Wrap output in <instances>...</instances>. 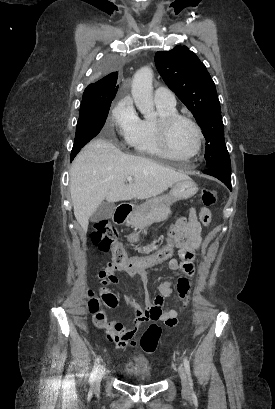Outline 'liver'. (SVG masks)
<instances>
[{"label": "liver", "instance_id": "liver-1", "mask_svg": "<svg viewBox=\"0 0 275 409\" xmlns=\"http://www.w3.org/2000/svg\"><path fill=\"white\" fill-rule=\"evenodd\" d=\"M127 176L134 178L129 184H125ZM182 178L189 176L151 158L125 154L105 138H94L80 150L70 170L75 219L87 233L89 219L104 198L108 202L151 198Z\"/></svg>", "mask_w": 275, "mask_h": 409}]
</instances>
